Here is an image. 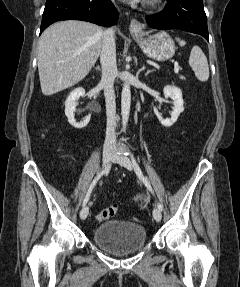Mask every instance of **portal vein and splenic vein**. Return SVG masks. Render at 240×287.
Here are the masks:
<instances>
[{
	"label": "portal vein and splenic vein",
	"mask_w": 240,
	"mask_h": 287,
	"mask_svg": "<svg viewBox=\"0 0 240 287\" xmlns=\"http://www.w3.org/2000/svg\"><path fill=\"white\" fill-rule=\"evenodd\" d=\"M181 69V67L177 64V65H175V70L176 71H178V70H180Z\"/></svg>",
	"instance_id": "18ae733b"
}]
</instances>
